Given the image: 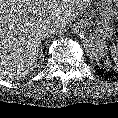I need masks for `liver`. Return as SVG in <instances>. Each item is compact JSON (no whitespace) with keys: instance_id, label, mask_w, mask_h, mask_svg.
Segmentation results:
<instances>
[{"instance_id":"1","label":"liver","mask_w":118,"mask_h":118,"mask_svg":"<svg viewBox=\"0 0 118 118\" xmlns=\"http://www.w3.org/2000/svg\"><path fill=\"white\" fill-rule=\"evenodd\" d=\"M89 0H0V76L26 77L35 68L49 25L65 26Z\"/></svg>"}]
</instances>
